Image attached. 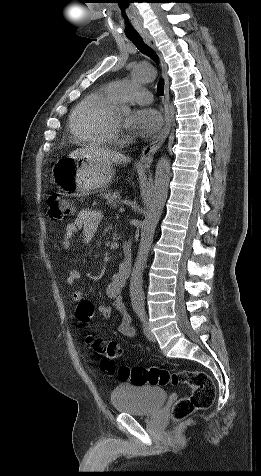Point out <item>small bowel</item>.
I'll list each match as a JSON object with an SVG mask.
<instances>
[{"label": "small bowel", "instance_id": "1", "mask_svg": "<svg viewBox=\"0 0 261 476\" xmlns=\"http://www.w3.org/2000/svg\"><path fill=\"white\" fill-rule=\"evenodd\" d=\"M103 214L98 210L84 209L81 210L73 220L66 227L62 246L68 250L71 247L72 239L79 232L82 233L83 240L89 242L95 236L100 223L102 221ZM129 273L123 270L120 265L118 270L113 274L111 281L106 288V294L111 299L110 304H101L98 306L99 313L105 317L110 318L113 311L117 313V331L127 337L134 338L137 335L136 329L132 326V319L130 314L126 310V306L123 300V288L128 280ZM81 278V274L77 269H71L65 279L67 286H74L76 282ZM73 302L79 303L84 300L83 293L80 291H74L71 295Z\"/></svg>", "mask_w": 261, "mask_h": 476}]
</instances>
